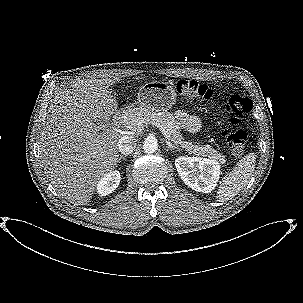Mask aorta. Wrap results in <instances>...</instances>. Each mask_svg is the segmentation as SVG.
<instances>
[{"label":"aorta","mask_w":303,"mask_h":303,"mask_svg":"<svg viewBox=\"0 0 303 303\" xmlns=\"http://www.w3.org/2000/svg\"><path fill=\"white\" fill-rule=\"evenodd\" d=\"M158 149L157 139L154 137H147L143 141V150L146 154H152Z\"/></svg>","instance_id":"aorta-1"}]
</instances>
